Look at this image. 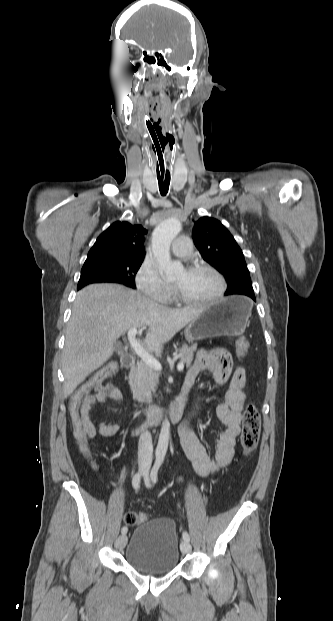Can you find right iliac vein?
Returning <instances> with one entry per match:
<instances>
[{
    "label": "right iliac vein",
    "instance_id": "obj_1",
    "mask_svg": "<svg viewBox=\"0 0 333 621\" xmlns=\"http://www.w3.org/2000/svg\"><path fill=\"white\" fill-rule=\"evenodd\" d=\"M126 543H127V536L125 534L121 535L116 539L115 547L121 550L125 547Z\"/></svg>",
    "mask_w": 333,
    "mask_h": 621
}]
</instances>
